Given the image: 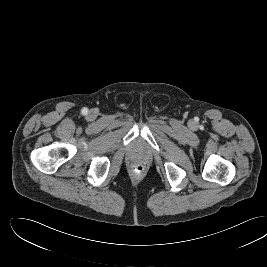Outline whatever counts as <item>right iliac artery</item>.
Masks as SVG:
<instances>
[{
    "mask_svg": "<svg viewBox=\"0 0 267 267\" xmlns=\"http://www.w3.org/2000/svg\"><path fill=\"white\" fill-rule=\"evenodd\" d=\"M82 115H86L88 113V109L86 107L81 109Z\"/></svg>",
    "mask_w": 267,
    "mask_h": 267,
    "instance_id": "82829eb1",
    "label": "right iliac artery"
}]
</instances>
